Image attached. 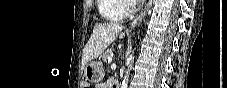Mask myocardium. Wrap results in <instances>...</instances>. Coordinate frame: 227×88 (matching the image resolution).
<instances>
[{
  "label": "myocardium",
  "instance_id": "obj_1",
  "mask_svg": "<svg viewBox=\"0 0 227 88\" xmlns=\"http://www.w3.org/2000/svg\"><path fill=\"white\" fill-rule=\"evenodd\" d=\"M122 9H123V12L126 14H132V13H135V11H136L134 4H132V2L130 0L123 1Z\"/></svg>",
  "mask_w": 227,
  "mask_h": 88
}]
</instances>
